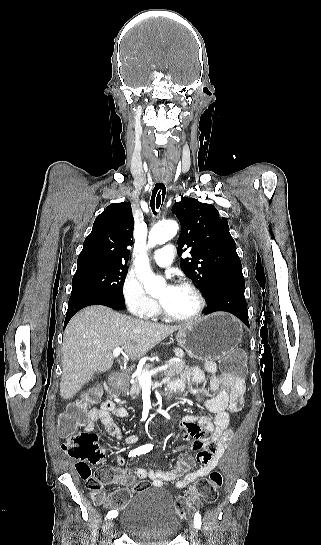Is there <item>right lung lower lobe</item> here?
<instances>
[{
  "instance_id": "obj_1",
  "label": "right lung lower lobe",
  "mask_w": 321,
  "mask_h": 545,
  "mask_svg": "<svg viewBox=\"0 0 321 545\" xmlns=\"http://www.w3.org/2000/svg\"><path fill=\"white\" fill-rule=\"evenodd\" d=\"M105 305L116 310L125 308V301L112 298L110 296L95 294V293H79L72 295L68 302V310L65 318L64 326H66L72 316L80 309L89 305Z\"/></svg>"
}]
</instances>
